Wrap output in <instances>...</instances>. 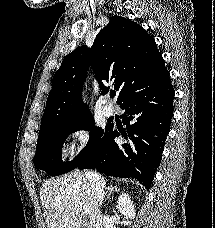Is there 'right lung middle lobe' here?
<instances>
[{"instance_id":"dd1d6c3e","label":"right lung middle lobe","mask_w":215,"mask_h":228,"mask_svg":"<svg viewBox=\"0 0 215 228\" xmlns=\"http://www.w3.org/2000/svg\"><path fill=\"white\" fill-rule=\"evenodd\" d=\"M111 128V125L105 128H94L92 115L76 121L41 127L33 160L35 168L45 170L52 176L72 171L105 140ZM77 130H90V139L77 157L70 162H63L61 160L62 145L68 134Z\"/></svg>"}]
</instances>
